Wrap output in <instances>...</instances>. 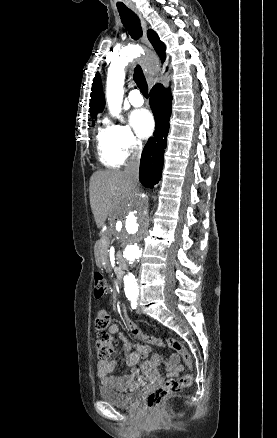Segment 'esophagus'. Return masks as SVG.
<instances>
[{"instance_id":"1","label":"esophagus","mask_w":277,"mask_h":438,"mask_svg":"<svg viewBox=\"0 0 277 438\" xmlns=\"http://www.w3.org/2000/svg\"><path fill=\"white\" fill-rule=\"evenodd\" d=\"M130 9L136 13V15L139 18L140 25L143 31V35L141 38V42L145 48V55L141 57L140 61L143 62L147 57H150L152 55V48L150 46V42L147 39V24L146 21L142 15V13L138 10L136 7H130Z\"/></svg>"}]
</instances>
